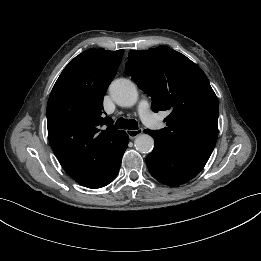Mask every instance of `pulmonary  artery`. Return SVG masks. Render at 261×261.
<instances>
[{"mask_svg": "<svg viewBox=\"0 0 261 261\" xmlns=\"http://www.w3.org/2000/svg\"><path fill=\"white\" fill-rule=\"evenodd\" d=\"M138 114L142 121L148 125L152 126L155 122V116L150 110V106L147 100L143 99L138 104Z\"/></svg>", "mask_w": 261, "mask_h": 261, "instance_id": "e3ab8cb5", "label": "pulmonary artery"}]
</instances>
